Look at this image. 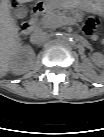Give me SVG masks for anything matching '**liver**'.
<instances>
[{"label": "liver", "instance_id": "1", "mask_svg": "<svg viewBox=\"0 0 104 137\" xmlns=\"http://www.w3.org/2000/svg\"><path fill=\"white\" fill-rule=\"evenodd\" d=\"M33 0H17L18 3H27ZM20 47V38L15 20L10 14L8 0L1 1L0 6V71L1 75L7 72L10 58Z\"/></svg>", "mask_w": 104, "mask_h": 137}]
</instances>
